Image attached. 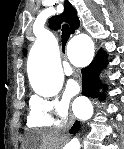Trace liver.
I'll return each instance as SVG.
<instances>
[{"label": "liver", "instance_id": "liver-1", "mask_svg": "<svg viewBox=\"0 0 124 149\" xmlns=\"http://www.w3.org/2000/svg\"><path fill=\"white\" fill-rule=\"evenodd\" d=\"M26 143L30 149H57L62 140L54 132L38 131L26 137Z\"/></svg>", "mask_w": 124, "mask_h": 149}]
</instances>
